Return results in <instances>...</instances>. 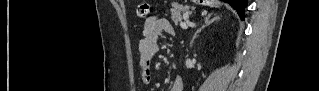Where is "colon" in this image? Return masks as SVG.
Listing matches in <instances>:
<instances>
[{
  "label": "colon",
  "instance_id": "1",
  "mask_svg": "<svg viewBox=\"0 0 319 91\" xmlns=\"http://www.w3.org/2000/svg\"><path fill=\"white\" fill-rule=\"evenodd\" d=\"M137 16L140 18H145L150 13V4L148 2H141L138 4L136 9Z\"/></svg>",
  "mask_w": 319,
  "mask_h": 91
}]
</instances>
